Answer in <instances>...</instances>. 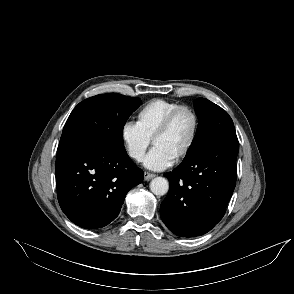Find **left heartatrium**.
<instances>
[{"label": "left heart atrium", "mask_w": 294, "mask_h": 294, "mask_svg": "<svg viewBox=\"0 0 294 294\" xmlns=\"http://www.w3.org/2000/svg\"><path fill=\"white\" fill-rule=\"evenodd\" d=\"M175 159L161 148L154 146L144 159V166L150 170L161 171L170 167Z\"/></svg>", "instance_id": "39dd6f15"}]
</instances>
